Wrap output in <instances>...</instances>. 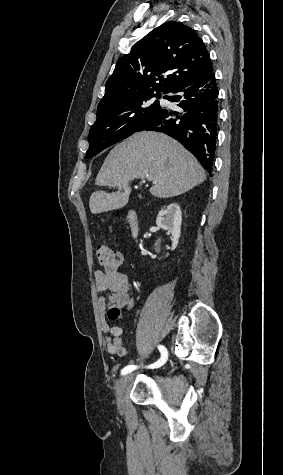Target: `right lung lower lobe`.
I'll list each match as a JSON object with an SVG mask.
<instances>
[{
  "label": "right lung lower lobe",
  "mask_w": 283,
  "mask_h": 475,
  "mask_svg": "<svg viewBox=\"0 0 283 475\" xmlns=\"http://www.w3.org/2000/svg\"><path fill=\"white\" fill-rule=\"evenodd\" d=\"M165 96L177 102L178 111L162 107L138 130L163 132L180 141L209 172L213 169L219 100L215 74L211 72L193 77L174 86Z\"/></svg>",
  "instance_id": "obj_1"
}]
</instances>
